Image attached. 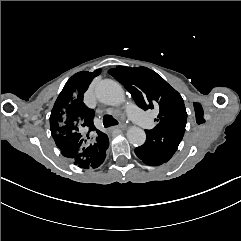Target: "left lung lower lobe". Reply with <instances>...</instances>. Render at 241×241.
I'll list each match as a JSON object with an SVG mask.
<instances>
[{"mask_svg":"<svg viewBox=\"0 0 241 241\" xmlns=\"http://www.w3.org/2000/svg\"><path fill=\"white\" fill-rule=\"evenodd\" d=\"M185 125L145 130L146 141L135 149L136 155L146 164L158 166L166 163L176 152L185 132Z\"/></svg>","mask_w":241,"mask_h":241,"instance_id":"left-lung-lower-lobe-1","label":"left lung lower lobe"}]
</instances>
